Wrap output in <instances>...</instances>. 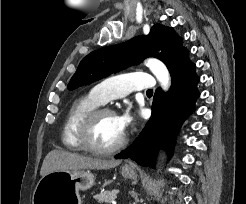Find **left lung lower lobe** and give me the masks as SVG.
I'll return each mask as SVG.
<instances>
[{"mask_svg":"<svg viewBox=\"0 0 246 204\" xmlns=\"http://www.w3.org/2000/svg\"><path fill=\"white\" fill-rule=\"evenodd\" d=\"M172 85L168 94L156 90L152 116L133 145L116 159L131 158L142 166H154L155 151L160 143L168 144L171 152L174 138L182 122L194 110V102L199 97L195 65L188 58L186 50L169 71Z\"/></svg>","mask_w":246,"mask_h":204,"instance_id":"left-lung-lower-lobe-1","label":"left lung lower lobe"}]
</instances>
